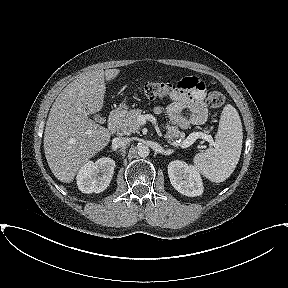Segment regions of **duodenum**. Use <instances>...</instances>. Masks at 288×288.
<instances>
[{
    "instance_id": "1",
    "label": "duodenum",
    "mask_w": 288,
    "mask_h": 288,
    "mask_svg": "<svg viewBox=\"0 0 288 288\" xmlns=\"http://www.w3.org/2000/svg\"><path fill=\"white\" fill-rule=\"evenodd\" d=\"M123 112V109L117 108L110 113L108 119V128L110 131L114 132L116 130L118 123L123 116Z\"/></svg>"
}]
</instances>
